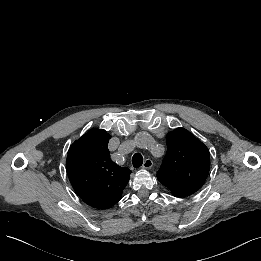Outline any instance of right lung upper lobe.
Returning a JSON list of instances; mask_svg holds the SVG:
<instances>
[{
  "mask_svg": "<svg viewBox=\"0 0 261 261\" xmlns=\"http://www.w3.org/2000/svg\"><path fill=\"white\" fill-rule=\"evenodd\" d=\"M110 138L105 130L91 129L72 144L66 160L74 190L85 203L98 209H107L121 199L131 173L110 159Z\"/></svg>",
  "mask_w": 261,
  "mask_h": 261,
  "instance_id": "1",
  "label": "right lung upper lobe"
}]
</instances>
